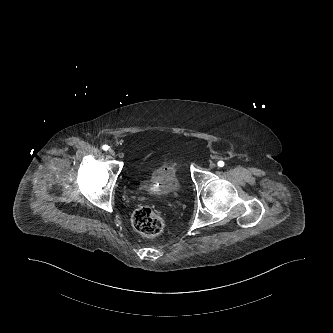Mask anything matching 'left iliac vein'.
Wrapping results in <instances>:
<instances>
[{
  "instance_id": "1",
  "label": "left iliac vein",
  "mask_w": 333,
  "mask_h": 333,
  "mask_svg": "<svg viewBox=\"0 0 333 333\" xmlns=\"http://www.w3.org/2000/svg\"><path fill=\"white\" fill-rule=\"evenodd\" d=\"M209 167H210V168H215V167H216V164H215V163H210Z\"/></svg>"
}]
</instances>
